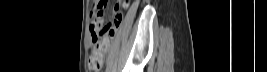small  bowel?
Here are the masks:
<instances>
[{
	"label": "small bowel",
	"instance_id": "1",
	"mask_svg": "<svg viewBox=\"0 0 267 72\" xmlns=\"http://www.w3.org/2000/svg\"><path fill=\"white\" fill-rule=\"evenodd\" d=\"M127 6H128L127 1H124V2H121L120 4H118V5L115 7L114 19H113V21H112L111 23L117 22V24L119 25V23L121 22V9H122V8H126ZM101 23H102V18L100 19V25H101ZM109 24H110V23H109ZM109 24H107L106 26H108ZM100 25H99V26H100ZM99 26H98V31L100 32V30H99ZM106 26H105V27H106ZM111 39H112V38L105 37V38H104V41H106V42L109 43ZM91 41H92V42L95 41V39H94V37L92 36V34H91Z\"/></svg>",
	"mask_w": 267,
	"mask_h": 72
}]
</instances>
